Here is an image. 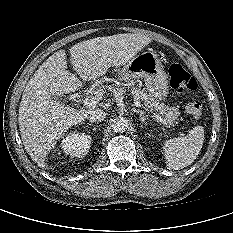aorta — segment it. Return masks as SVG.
Masks as SVG:
<instances>
[{"label":"aorta","instance_id":"762f6f07","mask_svg":"<svg viewBox=\"0 0 233 233\" xmlns=\"http://www.w3.org/2000/svg\"><path fill=\"white\" fill-rule=\"evenodd\" d=\"M111 127L114 132L123 133L128 128V121L124 117H121V116L114 117L111 120Z\"/></svg>","mask_w":233,"mask_h":233}]
</instances>
